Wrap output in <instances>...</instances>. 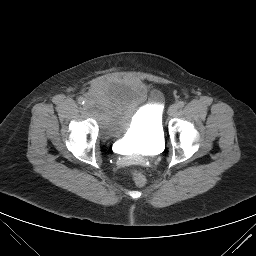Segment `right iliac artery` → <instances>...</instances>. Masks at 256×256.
<instances>
[{"instance_id": "1", "label": "right iliac artery", "mask_w": 256, "mask_h": 256, "mask_svg": "<svg viewBox=\"0 0 256 256\" xmlns=\"http://www.w3.org/2000/svg\"><path fill=\"white\" fill-rule=\"evenodd\" d=\"M78 103H79L80 105H83V104L85 103V99H84L83 97H80V98L78 99Z\"/></svg>"}]
</instances>
